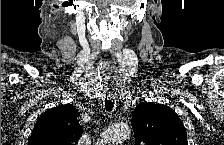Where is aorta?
I'll return each mask as SVG.
<instances>
[{"mask_svg":"<svg viewBox=\"0 0 224 145\" xmlns=\"http://www.w3.org/2000/svg\"><path fill=\"white\" fill-rule=\"evenodd\" d=\"M131 136V130L126 124H115L107 128L103 133L102 143L115 144L127 140Z\"/></svg>","mask_w":224,"mask_h":145,"instance_id":"1","label":"aorta"}]
</instances>
